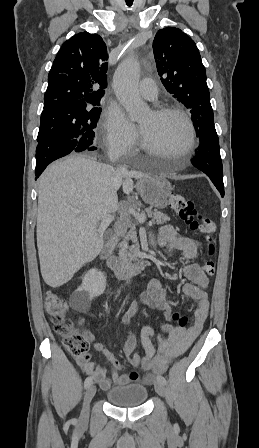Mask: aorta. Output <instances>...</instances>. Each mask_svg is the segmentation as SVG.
Here are the masks:
<instances>
[{
    "label": "aorta",
    "mask_w": 259,
    "mask_h": 448,
    "mask_svg": "<svg viewBox=\"0 0 259 448\" xmlns=\"http://www.w3.org/2000/svg\"><path fill=\"white\" fill-rule=\"evenodd\" d=\"M139 72L138 61L130 57L119 65L113 80L116 97L132 120H138L147 110L137 90Z\"/></svg>",
    "instance_id": "aorta-1"
}]
</instances>
